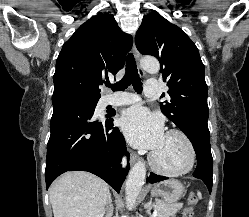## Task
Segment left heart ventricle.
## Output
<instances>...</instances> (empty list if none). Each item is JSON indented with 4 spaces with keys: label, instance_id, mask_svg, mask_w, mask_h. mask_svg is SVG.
I'll return each mask as SVG.
<instances>
[{
    "label": "left heart ventricle",
    "instance_id": "1",
    "mask_svg": "<svg viewBox=\"0 0 249 217\" xmlns=\"http://www.w3.org/2000/svg\"><path fill=\"white\" fill-rule=\"evenodd\" d=\"M153 152L156 161L166 169H180L188 161L187 147L176 135H165L160 146Z\"/></svg>",
    "mask_w": 249,
    "mask_h": 217
}]
</instances>
